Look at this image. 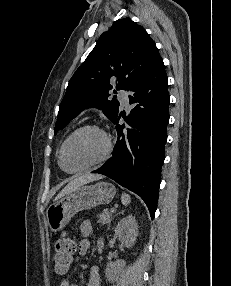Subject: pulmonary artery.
<instances>
[{"label": "pulmonary artery", "mask_w": 231, "mask_h": 286, "mask_svg": "<svg viewBox=\"0 0 231 286\" xmlns=\"http://www.w3.org/2000/svg\"><path fill=\"white\" fill-rule=\"evenodd\" d=\"M120 97L122 99L123 104L125 106H128L129 105V92L127 90H121Z\"/></svg>", "instance_id": "pulmonary-artery-1"}]
</instances>
